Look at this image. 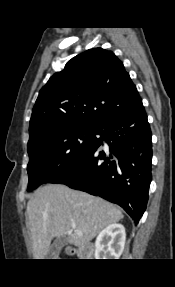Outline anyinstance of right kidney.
<instances>
[{
	"mask_svg": "<svg viewBox=\"0 0 175 287\" xmlns=\"http://www.w3.org/2000/svg\"><path fill=\"white\" fill-rule=\"evenodd\" d=\"M126 240L125 228L122 224H110L97 236L95 242L96 259H119Z\"/></svg>",
	"mask_w": 175,
	"mask_h": 287,
	"instance_id": "right-kidney-1",
	"label": "right kidney"
}]
</instances>
